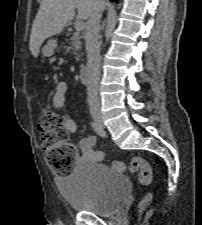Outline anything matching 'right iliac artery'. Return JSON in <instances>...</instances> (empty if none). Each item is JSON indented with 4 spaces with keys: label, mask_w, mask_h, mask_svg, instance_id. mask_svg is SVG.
I'll list each match as a JSON object with an SVG mask.
<instances>
[{
    "label": "right iliac artery",
    "mask_w": 202,
    "mask_h": 225,
    "mask_svg": "<svg viewBox=\"0 0 202 225\" xmlns=\"http://www.w3.org/2000/svg\"><path fill=\"white\" fill-rule=\"evenodd\" d=\"M90 124H91L92 129H93L98 135H100L101 137H105V136H106V134H105V132L103 131L102 127H101L98 123L92 121Z\"/></svg>",
    "instance_id": "right-iliac-artery-1"
}]
</instances>
